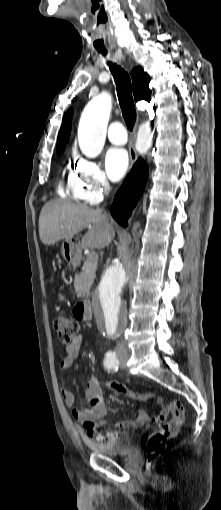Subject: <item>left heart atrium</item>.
Listing matches in <instances>:
<instances>
[{
    "mask_svg": "<svg viewBox=\"0 0 221 510\" xmlns=\"http://www.w3.org/2000/svg\"><path fill=\"white\" fill-rule=\"evenodd\" d=\"M105 163L109 177L113 181H118L129 167L128 153L122 148H111L106 154Z\"/></svg>",
    "mask_w": 221,
    "mask_h": 510,
    "instance_id": "1",
    "label": "left heart atrium"
}]
</instances>
